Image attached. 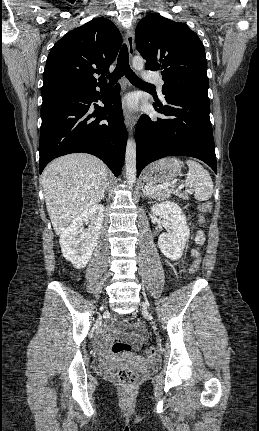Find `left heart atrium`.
Listing matches in <instances>:
<instances>
[{
  "mask_svg": "<svg viewBox=\"0 0 259 431\" xmlns=\"http://www.w3.org/2000/svg\"><path fill=\"white\" fill-rule=\"evenodd\" d=\"M124 105H125L127 108H133V107H135V105H136L135 97H134L133 95H129V96H127V97L125 98V100H124Z\"/></svg>",
  "mask_w": 259,
  "mask_h": 431,
  "instance_id": "39dd6f15",
  "label": "left heart atrium"
}]
</instances>
